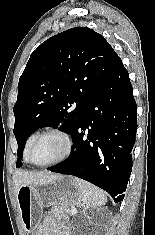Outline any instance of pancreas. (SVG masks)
Segmentation results:
<instances>
[{"instance_id": "obj_1", "label": "pancreas", "mask_w": 155, "mask_h": 235, "mask_svg": "<svg viewBox=\"0 0 155 235\" xmlns=\"http://www.w3.org/2000/svg\"><path fill=\"white\" fill-rule=\"evenodd\" d=\"M59 209L63 210L64 212L70 214V210L69 208H66V207H58Z\"/></svg>"}]
</instances>
